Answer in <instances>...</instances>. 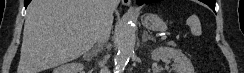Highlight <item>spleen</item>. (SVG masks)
<instances>
[{"mask_svg":"<svg viewBox=\"0 0 244 73\" xmlns=\"http://www.w3.org/2000/svg\"><path fill=\"white\" fill-rule=\"evenodd\" d=\"M187 24L191 29V33L194 36H200L202 34L201 23L196 15H191L187 19Z\"/></svg>","mask_w":244,"mask_h":73,"instance_id":"spleen-1","label":"spleen"}]
</instances>
